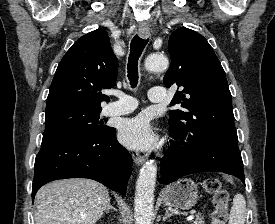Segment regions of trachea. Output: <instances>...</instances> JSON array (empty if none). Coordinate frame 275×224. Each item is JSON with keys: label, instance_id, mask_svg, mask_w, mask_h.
<instances>
[{"label": "trachea", "instance_id": "3493384b", "mask_svg": "<svg viewBox=\"0 0 275 224\" xmlns=\"http://www.w3.org/2000/svg\"><path fill=\"white\" fill-rule=\"evenodd\" d=\"M148 43V39H142L135 35L130 44V55L128 58V78L131 86L134 88L138 84V60L143 49Z\"/></svg>", "mask_w": 275, "mask_h": 224}]
</instances>
